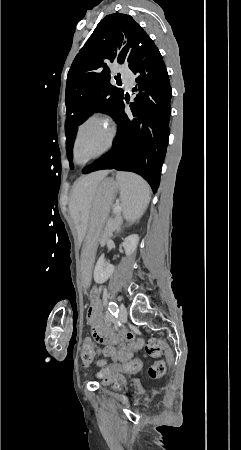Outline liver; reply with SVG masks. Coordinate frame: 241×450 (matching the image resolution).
I'll use <instances>...</instances> for the list:
<instances>
[{
  "mask_svg": "<svg viewBox=\"0 0 241 450\" xmlns=\"http://www.w3.org/2000/svg\"><path fill=\"white\" fill-rule=\"evenodd\" d=\"M109 172L110 170H100V172H93V174H88V176H81V178L76 180L72 188L69 210L73 218H76L77 222H79V220L83 222L81 230H85L86 228L89 210L97 186ZM80 214H82V216H80Z\"/></svg>",
  "mask_w": 241,
  "mask_h": 450,
  "instance_id": "1",
  "label": "liver"
}]
</instances>
